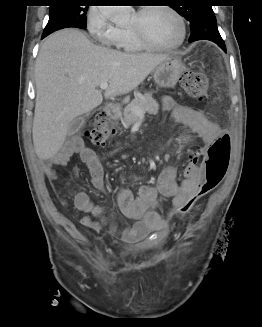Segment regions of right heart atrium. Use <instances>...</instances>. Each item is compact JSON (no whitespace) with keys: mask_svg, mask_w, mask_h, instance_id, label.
Wrapping results in <instances>:
<instances>
[{"mask_svg":"<svg viewBox=\"0 0 262 327\" xmlns=\"http://www.w3.org/2000/svg\"><path fill=\"white\" fill-rule=\"evenodd\" d=\"M86 25L96 41L107 46H118L120 30L110 18L107 7L93 6L87 13Z\"/></svg>","mask_w":262,"mask_h":327,"instance_id":"d8ad5b80","label":"right heart atrium"}]
</instances>
